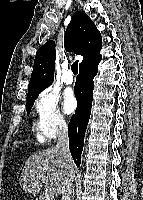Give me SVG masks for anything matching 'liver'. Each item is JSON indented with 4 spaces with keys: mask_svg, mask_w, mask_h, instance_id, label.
Returning <instances> with one entry per match:
<instances>
[{
    "mask_svg": "<svg viewBox=\"0 0 143 200\" xmlns=\"http://www.w3.org/2000/svg\"><path fill=\"white\" fill-rule=\"evenodd\" d=\"M71 172L75 173L73 161L68 162L56 147H49L29 156L19 182L24 191L34 196L39 194L43 183L49 193L58 196L62 192L65 179Z\"/></svg>",
    "mask_w": 143,
    "mask_h": 200,
    "instance_id": "liver-1",
    "label": "liver"
}]
</instances>
